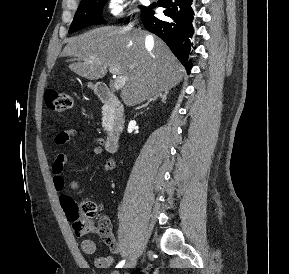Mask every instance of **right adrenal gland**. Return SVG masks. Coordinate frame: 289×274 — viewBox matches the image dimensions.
I'll return each instance as SVG.
<instances>
[{
    "instance_id": "obj_1",
    "label": "right adrenal gland",
    "mask_w": 289,
    "mask_h": 274,
    "mask_svg": "<svg viewBox=\"0 0 289 274\" xmlns=\"http://www.w3.org/2000/svg\"><path fill=\"white\" fill-rule=\"evenodd\" d=\"M168 93H169V91L166 90V91H164V93H159V94L153 96L144 105L137 107L136 110L147 107L151 102L156 101L158 98H160L163 103H166Z\"/></svg>"
}]
</instances>
